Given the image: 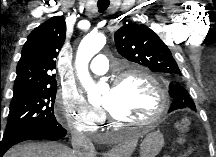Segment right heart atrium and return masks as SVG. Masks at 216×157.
Returning a JSON list of instances; mask_svg holds the SVG:
<instances>
[{
    "label": "right heart atrium",
    "mask_w": 216,
    "mask_h": 157,
    "mask_svg": "<svg viewBox=\"0 0 216 157\" xmlns=\"http://www.w3.org/2000/svg\"><path fill=\"white\" fill-rule=\"evenodd\" d=\"M55 116L75 134L91 135L105 122L101 108L93 107L76 91L67 90L57 98Z\"/></svg>",
    "instance_id": "1"
}]
</instances>
